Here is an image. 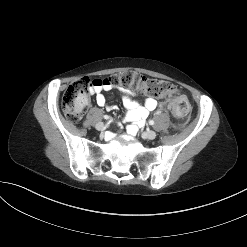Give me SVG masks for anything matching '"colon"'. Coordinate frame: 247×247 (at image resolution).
<instances>
[{
  "mask_svg": "<svg viewBox=\"0 0 247 247\" xmlns=\"http://www.w3.org/2000/svg\"><path fill=\"white\" fill-rule=\"evenodd\" d=\"M98 83H105L111 86L135 87L156 97L169 95L167 105L177 118L183 119L188 113L189 107L186 98L184 96L174 97L170 95L176 92V87L172 83L166 80L147 78L134 71H126L111 75L104 80L81 78L70 84L62 99L64 114L70 121L77 122L81 119L88 107V93L91 87Z\"/></svg>",
  "mask_w": 247,
  "mask_h": 247,
  "instance_id": "1",
  "label": "colon"
}]
</instances>
